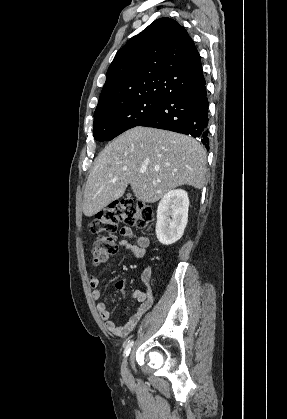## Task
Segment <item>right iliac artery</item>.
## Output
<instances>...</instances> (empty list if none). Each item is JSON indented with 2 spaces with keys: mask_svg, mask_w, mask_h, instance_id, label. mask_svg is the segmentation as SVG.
<instances>
[{
  "mask_svg": "<svg viewBox=\"0 0 287 419\" xmlns=\"http://www.w3.org/2000/svg\"><path fill=\"white\" fill-rule=\"evenodd\" d=\"M133 341H128L127 342V344H126V346H125V350H124V355H125V357L126 356H128L129 355V353H130V351H131V348H132V346H133Z\"/></svg>",
  "mask_w": 287,
  "mask_h": 419,
  "instance_id": "1",
  "label": "right iliac artery"
}]
</instances>
